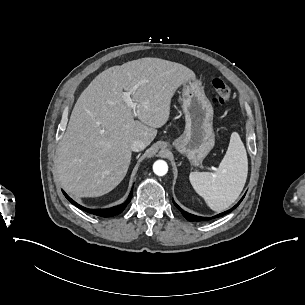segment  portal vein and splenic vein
Wrapping results in <instances>:
<instances>
[{
    "label": "portal vein and splenic vein",
    "mask_w": 305,
    "mask_h": 305,
    "mask_svg": "<svg viewBox=\"0 0 305 305\" xmlns=\"http://www.w3.org/2000/svg\"><path fill=\"white\" fill-rule=\"evenodd\" d=\"M135 88L136 89H138L139 88V84H137L136 86H135ZM123 99H124V101L127 103V104H132V99H131V97H130V94L128 93V92H124L123 93Z\"/></svg>",
    "instance_id": "portal-vein-and-splenic-vein-1"
}]
</instances>
